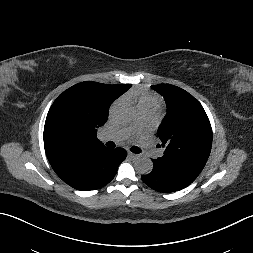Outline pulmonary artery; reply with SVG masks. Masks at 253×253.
Returning a JSON list of instances; mask_svg holds the SVG:
<instances>
[{"label":"pulmonary artery","instance_id":"1","mask_svg":"<svg viewBox=\"0 0 253 253\" xmlns=\"http://www.w3.org/2000/svg\"><path fill=\"white\" fill-rule=\"evenodd\" d=\"M154 111L152 110H140L138 113V121L142 124L147 123L153 116ZM125 133L119 132L117 134L104 133L100 136V140L103 142L106 141H121L125 138ZM157 151L153 148H148L149 155H155Z\"/></svg>","mask_w":253,"mask_h":253}]
</instances>
